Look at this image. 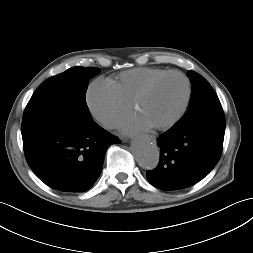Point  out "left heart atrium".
<instances>
[{"instance_id": "1", "label": "left heart atrium", "mask_w": 253, "mask_h": 253, "mask_svg": "<svg viewBox=\"0 0 253 253\" xmlns=\"http://www.w3.org/2000/svg\"><path fill=\"white\" fill-rule=\"evenodd\" d=\"M151 127L152 125L138 114L125 119L120 124V128L124 133H134Z\"/></svg>"}]
</instances>
